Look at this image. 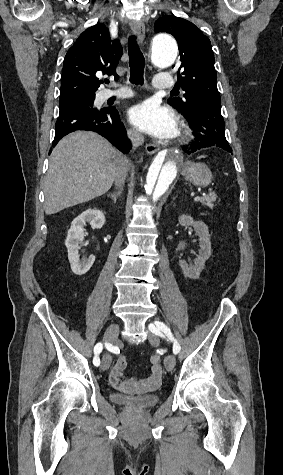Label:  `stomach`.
<instances>
[{"mask_svg":"<svg viewBox=\"0 0 283 475\" xmlns=\"http://www.w3.org/2000/svg\"><path fill=\"white\" fill-rule=\"evenodd\" d=\"M182 176L194 186H202V188L209 186L213 180L212 172L206 164H191V162H187Z\"/></svg>","mask_w":283,"mask_h":475,"instance_id":"stomach-1","label":"stomach"}]
</instances>
